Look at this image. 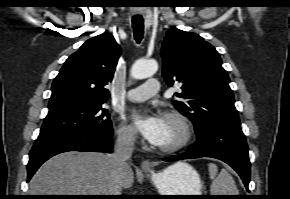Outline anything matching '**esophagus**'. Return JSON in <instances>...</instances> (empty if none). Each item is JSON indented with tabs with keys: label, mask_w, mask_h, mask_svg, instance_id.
I'll use <instances>...</instances> for the list:
<instances>
[{
	"label": "esophagus",
	"mask_w": 290,
	"mask_h": 199,
	"mask_svg": "<svg viewBox=\"0 0 290 199\" xmlns=\"http://www.w3.org/2000/svg\"><path fill=\"white\" fill-rule=\"evenodd\" d=\"M141 168L144 170V171H150L152 169V164L149 160H144L142 163H141Z\"/></svg>",
	"instance_id": "obj_1"
}]
</instances>
